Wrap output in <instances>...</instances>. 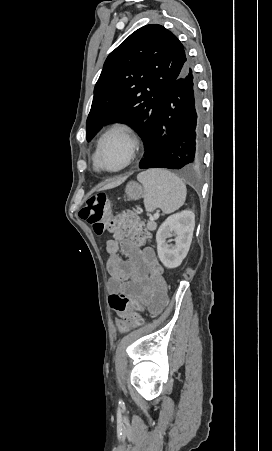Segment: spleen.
Returning <instances> with one entry per match:
<instances>
[{
    "mask_svg": "<svg viewBox=\"0 0 272 451\" xmlns=\"http://www.w3.org/2000/svg\"><path fill=\"white\" fill-rule=\"evenodd\" d=\"M144 188L146 212L160 208L163 214H172L183 206L186 200V186L178 176L163 168H152L137 176Z\"/></svg>",
    "mask_w": 272,
    "mask_h": 451,
    "instance_id": "1",
    "label": "spleen"
}]
</instances>
